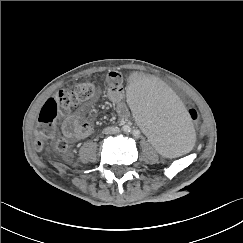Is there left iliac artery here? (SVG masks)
I'll list each match as a JSON object with an SVG mask.
<instances>
[{"mask_svg": "<svg viewBox=\"0 0 243 243\" xmlns=\"http://www.w3.org/2000/svg\"><path fill=\"white\" fill-rule=\"evenodd\" d=\"M133 134L136 136V135L139 134V131L134 129V130H133Z\"/></svg>", "mask_w": 243, "mask_h": 243, "instance_id": "44dca946", "label": "left iliac artery"}]
</instances>
